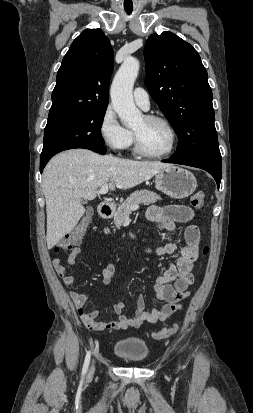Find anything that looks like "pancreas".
<instances>
[{"instance_id": "obj_1", "label": "pancreas", "mask_w": 253, "mask_h": 413, "mask_svg": "<svg viewBox=\"0 0 253 413\" xmlns=\"http://www.w3.org/2000/svg\"><path fill=\"white\" fill-rule=\"evenodd\" d=\"M161 200V197L156 193L149 190H139L133 192L122 204H120L114 215V223L117 228H120L126 217L131 213L132 207L138 206L143 203L149 205ZM105 233H109L108 229H105Z\"/></svg>"}]
</instances>
